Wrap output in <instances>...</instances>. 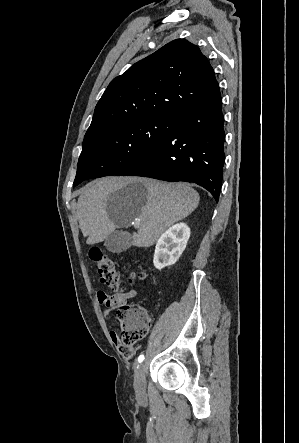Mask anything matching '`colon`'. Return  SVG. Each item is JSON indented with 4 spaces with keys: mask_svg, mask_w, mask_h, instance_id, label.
Instances as JSON below:
<instances>
[{
    "mask_svg": "<svg viewBox=\"0 0 299 443\" xmlns=\"http://www.w3.org/2000/svg\"><path fill=\"white\" fill-rule=\"evenodd\" d=\"M89 257L97 265L101 283L114 290H119L120 278L112 259L102 249L95 246L90 248ZM145 277L146 272L140 271L131 274L129 280L144 279ZM116 313L120 323V351L125 357H129L132 345L148 335L152 319L146 309L139 304L119 305Z\"/></svg>",
    "mask_w": 299,
    "mask_h": 443,
    "instance_id": "obj_1",
    "label": "colon"
}]
</instances>
